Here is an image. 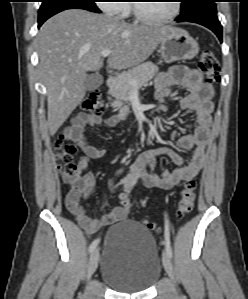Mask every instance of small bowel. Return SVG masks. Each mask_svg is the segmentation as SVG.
<instances>
[{
    "label": "small bowel",
    "mask_w": 248,
    "mask_h": 299,
    "mask_svg": "<svg viewBox=\"0 0 248 299\" xmlns=\"http://www.w3.org/2000/svg\"><path fill=\"white\" fill-rule=\"evenodd\" d=\"M176 88H183L186 94L179 100L182 110L192 111L196 116V125H188L189 132L176 140L181 150H193L192 158L186 164L183 159L167 147H157L140 153L131 168L130 174L121 181L122 191L119 193L121 202L129 198L134 183L141 179L147 187L172 189L174 186L195 177L202 169L205 162V150L210 137L213 103L211 100V86L203 79L199 70L187 67H174L170 71L159 74L157 78L155 97L158 101L168 97ZM118 116L102 119L100 116L80 114L75 117L72 124L65 130L69 139L80 138L83 140V156L79 160V167L84 171L88 167L89 158H103L106 150L88 143L83 132L87 126L105 125L114 127ZM174 138V134H172ZM157 155H166L177 166L171 172L162 174L154 172ZM83 192L90 196L93 192L91 176L86 175L83 180ZM122 205V204H121ZM117 206L111 212L104 214L100 219H93L84 212L74 214L78 224L87 232L95 233L100 228L121 221L126 215L122 214V207Z\"/></svg>",
    "instance_id": "obj_1"
}]
</instances>
